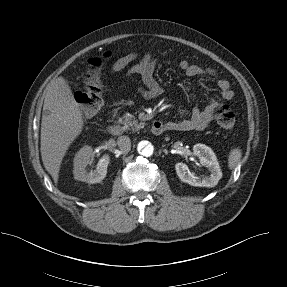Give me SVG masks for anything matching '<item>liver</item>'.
<instances>
[{"instance_id":"obj_1","label":"liver","mask_w":287,"mask_h":287,"mask_svg":"<svg viewBox=\"0 0 287 287\" xmlns=\"http://www.w3.org/2000/svg\"><path fill=\"white\" fill-rule=\"evenodd\" d=\"M84 120L78 102L63 77L46 89L41 122V156L45 169L58 182L60 165L70 144L78 137Z\"/></svg>"}]
</instances>
